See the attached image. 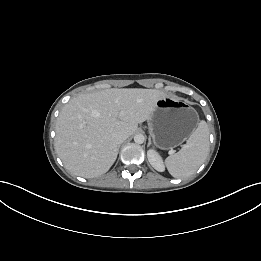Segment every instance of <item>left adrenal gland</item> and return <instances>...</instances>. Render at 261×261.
<instances>
[{
	"mask_svg": "<svg viewBox=\"0 0 261 261\" xmlns=\"http://www.w3.org/2000/svg\"><path fill=\"white\" fill-rule=\"evenodd\" d=\"M151 144V139L149 138L148 146Z\"/></svg>",
	"mask_w": 261,
	"mask_h": 261,
	"instance_id": "left-adrenal-gland-1",
	"label": "left adrenal gland"
}]
</instances>
